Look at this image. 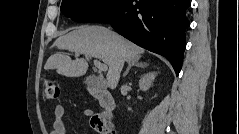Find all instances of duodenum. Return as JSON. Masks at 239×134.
<instances>
[{"instance_id":"obj_1","label":"duodenum","mask_w":239,"mask_h":134,"mask_svg":"<svg viewBox=\"0 0 239 134\" xmlns=\"http://www.w3.org/2000/svg\"><path fill=\"white\" fill-rule=\"evenodd\" d=\"M90 91L102 107L104 116L111 118L113 110L115 108V101L110 92L98 87H92Z\"/></svg>"}]
</instances>
